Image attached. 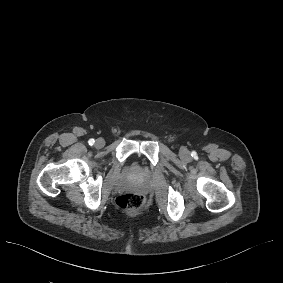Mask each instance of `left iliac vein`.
<instances>
[{
    "label": "left iliac vein",
    "mask_w": 283,
    "mask_h": 283,
    "mask_svg": "<svg viewBox=\"0 0 283 283\" xmlns=\"http://www.w3.org/2000/svg\"><path fill=\"white\" fill-rule=\"evenodd\" d=\"M181 157L183 159H185L186 161H190L191 160V155H190V153L186 149H182L181 150Z\"/></svg>",
    "instance_id": "4c4485c4"
}]
</instances>
